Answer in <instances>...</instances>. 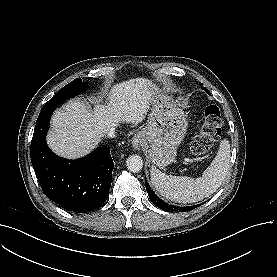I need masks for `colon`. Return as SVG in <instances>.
<instances>
[{
	"label": "colon",
	"mask_w": 277,
	"mask_h": 277,
	"mask_svg": "<svg viewBox=\"0 0 277 277\" xmlns=\"http://www.w3.org/2000/svg\"><path fill=\"white\" fill-rule=\"evenodd\" d=\"M223 119L217 105H209L204 111V119L199 133L190 141V151L195 160L209 152L221 134Z\"/></svg>",
	"instance_id": "colon-1"
}]
</instances>
